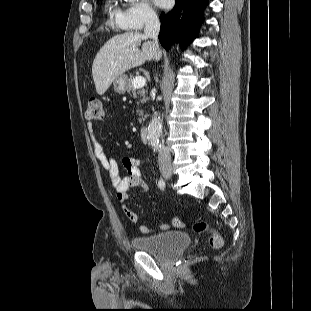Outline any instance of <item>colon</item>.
Wrapping results in <instances>:
<instances>
[{
	"instance_id": "obj_1",
	"label": "colon",
	"mask_w": 311,
	"mask_h": 311,
	"mask_svg": "<svg viewBox=\"0 0 311 311\" xmlns=\"http://www.w3.org/2000/svg\"><path fill=\"white\" fill-rule=\"evenodd\" d=\"M103 106L99 99L93 98L88 102L86 118L89 121H101L103 119ZM197 233L209 232V244L212 248H219L222 245L220 234L215 231L206 221L197 220L193 225Z\"/></svg>"
}]
</instances>
